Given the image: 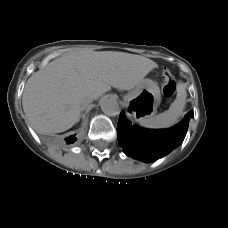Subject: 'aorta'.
I'll return each instance as SVG.
<instances>
[{
    "instance_id": "obj_1",
    "label": "aorta",
    "mask_w": 228,
    "mask_h": 228,
    "mask_svg": "<svg viewBox=\"0 0 228 228\" xmlns=\"http://www.w3.org/2000/svg\"><path fill=\"white\" fill-rule=\"evenodd\" d=\"M100 107L103 113L108 116H116L119 113V104L113 98L103 97L100 101Z\"/></svg>"
}]
</instances>
